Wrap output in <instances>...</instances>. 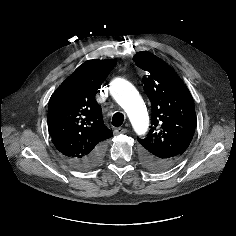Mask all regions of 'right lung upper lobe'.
<instances>
[{"instance_id": "cb5924a9", "label": "right lung upper lobe", "mask_w": 236, "mask_h": 236, "mask_svg": "<svg viewBox=\"0 0 236 236\" xmlns=\"http://www.w3.org/2000/svg\"><path fill=\"white\" fill-rule=\"evenodd\" d=\"M115 65L113 59L86 61L52 94L48 129L65 158L84 157L113 136L103 123L95 95Z\"/></svg>"}]
</instances>
